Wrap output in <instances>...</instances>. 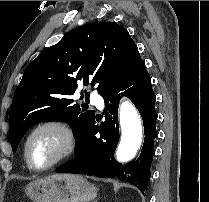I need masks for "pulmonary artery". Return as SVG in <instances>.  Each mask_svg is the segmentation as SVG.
Instances as JSON below:
<instances>
[{
    "instance_id": "e3ab8cb5",
    "label": "pulmonary artery",
    "mask_w": 209,
    "mask_h": 202,
    "mask_svg": "<svg viewBox=\"0 0 209 202\" xmlns=\"http://www.w3.org/2000/svg\"><path fill=\"white\" fill-rule=\"evenodd\" d=\"M90 103L91 105L95 106L99 110H101L104 106L102 98L100 97V95H98L95 92L91 93Z\"/></svg>"
}]
</instances>
